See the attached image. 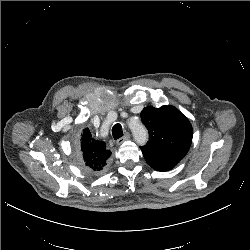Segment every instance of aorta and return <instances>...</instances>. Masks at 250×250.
I'll use <instances>...</instances> for the list:
<instances>
[{
	"mask_svg": "<svg viewBox=\"0 0 250 250\" xmlns=\"http://www.w3.org/2000/svg\"><path fill=\"white\" fill-rule=\"evenodd\" d=\"M128 126L132 132L134 140L140 145L145 144L148 139L146 128L141 123L133 120L128 123Z\"/></svg>",
	"mask_w": 250,
	"mask_h": 250,
	"instance_id": "aorta-1",
	"label": "aorta"
}]
</instances>
